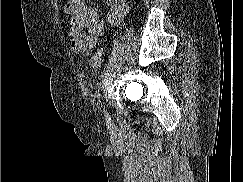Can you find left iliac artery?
Returning a JSON list of instances; mask_svg holds the SVG:
<instances>
[{
  "mask_svg": "<svg viewBox=\"0 0 243 182\" xmlns=\"http://www.w3.org/2000/svg\"><path fill=\"white\" fill-rule=\"evenodd\" d=\"M104 114H105V119H106L107 123H109L111 125V116L109 115V113L106 110H105Z\"/></svg>",
  "mask_w": 243,
  "mask_h": 182,
  "instance_id": "left-iliac-artery-1",
  "label": "left iliac artery"
}]
</instances>
